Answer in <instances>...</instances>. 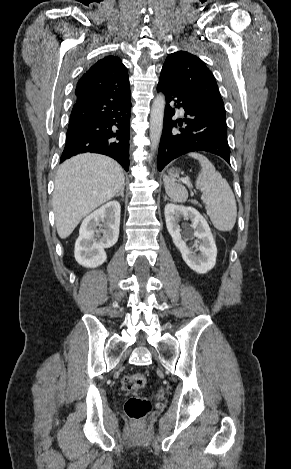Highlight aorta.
I'll return each instance as SVG.
<instances>
[{"mask_svg": "<svg viewBox=\"0 0 291 469\" xmlns=\"http://www.w3.org/2000/svg\"><path fill=\"white\" fill-rule=\"evenodd\" d=\"M164 110L165 97L163 94H158L153 102L150 114V140L152 151L157 149L162 135Z\"/></svg>", "mask_w": 291, "mask_h": 469, "instance_id": "obj_1", "label": "aorta"}]
</instances>
